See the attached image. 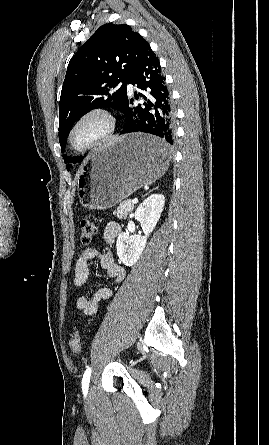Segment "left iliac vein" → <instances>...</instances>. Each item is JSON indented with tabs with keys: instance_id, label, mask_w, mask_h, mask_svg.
Returning a JSON list of instances; mask_svg holds the SVG:
<instances>
[{
	"instance_id": "4c4485c4",
	"label": "left iliac vein",
	"mask_w": 269,
	"mask_h": 445,
	"mask_svg": "<svg viewBox=\"0 0 269 445\" xmlns=\"http://www.w3.org/2000/svg\"><path fill=\"white\" fill-rule=\"evenodd\" d=\"M93 395H94V390L92 387H90L88 396H89V398H92Z\"/></svg>"
}]
</instances>
